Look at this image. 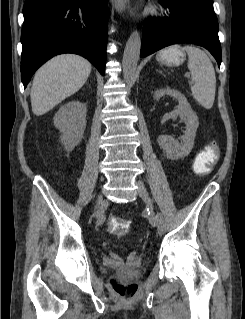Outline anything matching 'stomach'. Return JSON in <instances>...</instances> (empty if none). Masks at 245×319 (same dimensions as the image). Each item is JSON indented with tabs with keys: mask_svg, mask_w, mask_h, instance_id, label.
<instances>
[{
	"mask_svg": "<svg viewBox=\"0 0 245 319\" xmlns=\"http://www.w3.org/2000/svg\"><path fill=\"white\" fill-rule=\"evenodd\" d=\"M157 60L167 66H178L184 62L185 54L178 45H174L160 51Z\"/></svg>",
	"mask_w": 245,
	"mask_h": 319,
	"instance_id": "1",
	"label": "stomach"
}]
</instances>
